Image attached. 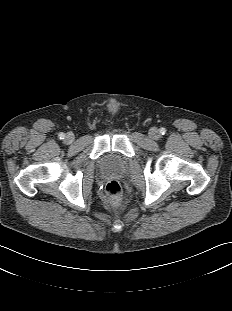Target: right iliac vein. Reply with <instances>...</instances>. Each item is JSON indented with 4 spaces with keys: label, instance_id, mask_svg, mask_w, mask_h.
<instances>
[{
    "label": "right iliac vein",
    "instance_id": "obj_1",
    "mask_svg": "<svg viewBox=\"0 0 232 311\" xmlns=\"http://www.w3.org/2000/svg\"><path fill=\"white\" fill-rule=\"evenodd\" d=\"M74 141V135L72 133H68L66 136H65V142L70 144Z\"/></svg>",
    "mask_w": 232,
    "mask_h": 311
}]
</instances>
